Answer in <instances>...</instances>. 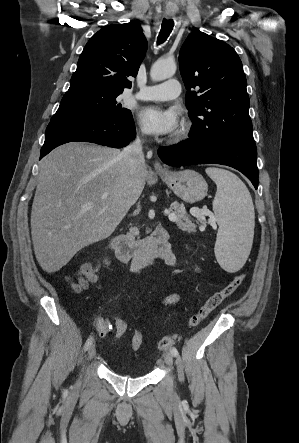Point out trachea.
<instances>
[{
  "mask_svg": "<svg viewBox=\"0 0 299 443\" xmlns=\"http://www.w3.org/2000/svg\"><path fill=\"white\" fill-rule=\"evenodd\" d=\"M173 26H174V22L172 19H164L161 25V30L160 33L158 35V39H157V44H162L164 43L167 38L169 37L170 33L173 30Z\"/></svg>",
  "mask_w": 299,
  "mask_h": 443,
  "instance_id": "3493384b",
  "label": "trachea"
}]
</instances>
